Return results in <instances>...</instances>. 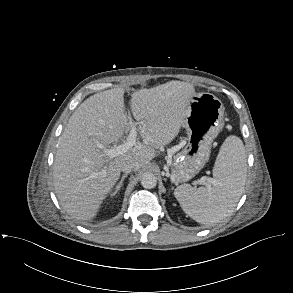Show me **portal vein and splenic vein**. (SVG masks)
Instances as JSON below:
<instances>
[{
  "label": "portal vein and splenic vein",
  "instance_id": "1",
  "mask_svg": "<svg viewBox=\"0 0 293 293\" xmlns=\"http://www.w3.org/2000/svg\"><path fill=\"white\" fill-rule=\"evenodd\" d=\"M127 124L130 127V131H129L128 137L126 139V142H124L121 145L112 147L110 149L105 148V147H101L103 150V154L106 157L112 159V158H115L119 155H122V154L126 153L129 149H131L136 144V137H137L136 123L129 121Z\"/></svg>",
  "mask_w": 293,
  "mask_h": 293
}]
</instances>
